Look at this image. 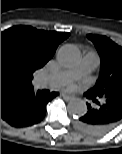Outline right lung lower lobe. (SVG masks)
Masks as SVG:
<instances>
[{
  "mask_svg": "<svg viewBox=\"0 0 122 154\" xmlns=\"http://www.w3.org/2000/svg\"><path fill=\"white\" fill-rule=\"evenodd\" d=\"M58 95H48L33 88L23 90L1 104V118L13 127H26L40 122L46 114V105Z\"/></svg>",
  "mask_w": 122,
  "mask_h": 154,
  "instance_id": "1",
  "label": "right lung lower lobe"
}]
</instances>
